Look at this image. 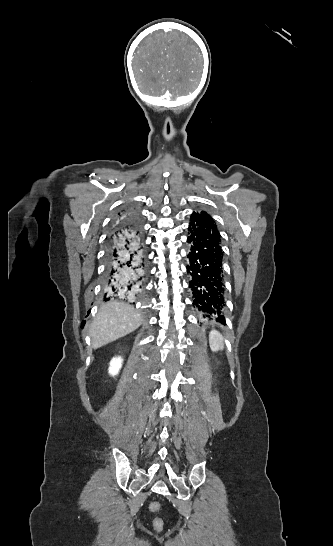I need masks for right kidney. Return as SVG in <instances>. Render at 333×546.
<instances>
[{
    "label": "right kidney",
    "mask_w": 333,
    "mask_h": 546,
    "mask_svg": "<svg viewBox=\"0 0 333 546\" xmlns=\"http://www.w3.org/2000/svg\"><path fill=\"white\" fill-rule=\"evenodd\" d=\"M121 366H122V359L120 357L113 358L110 363L109 373L113 376L118 374Z\"/></svg>",
    "instance_id": "ca27d5eb"
}]
</instances>
